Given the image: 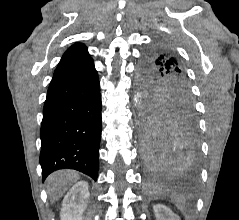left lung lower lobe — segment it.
<instances>
[{
    "instance_id": "obj_1",
    "label": "left lung lower lobe",
    "mask_w": 239,
    "mask_h": 220,
    "mask_svg": "<svg viewBox=\"0 0 239 220\" xmlns=\"http://www.w3.org/2000/svg\"><path fill=\"white\" fill-rule=\"evenodd\" d=\"M197 147L196 121L189 112H163L145 124L142 149L151 168L193 163Z\"/></svg>"
}]
</instances>
